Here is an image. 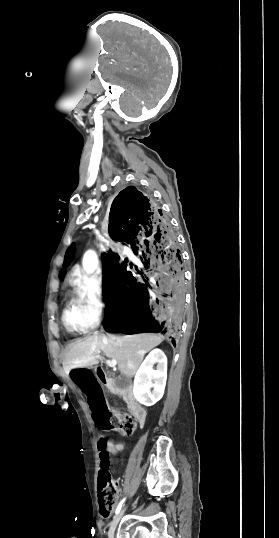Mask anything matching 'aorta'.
Wrapping results in <instances>:
<instances>
[{"instance_id": "762f6f07", "label": "aorta", "mask_w": 279, "mask_h": 538, "mask_svg": "<svg viewBox=\"0 0 279 538\" xmlns=\"http://www.w3.org/2000/svg\"><path fill=\"white\" fill-rule=\"evenodd\" d=\"M83 267L86 272L92 273L97 268V256L94 251L89 250L83 257Z\"/></svg>"}]
</instances>
